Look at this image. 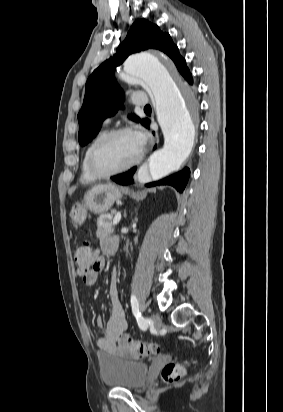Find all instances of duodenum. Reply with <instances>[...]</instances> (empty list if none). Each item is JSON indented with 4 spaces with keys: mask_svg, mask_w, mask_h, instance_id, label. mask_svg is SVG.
Wrapping results in <instances>:
<instances>
[{
    "mask_svg": "<svg viewBox=\"0 0 283 412\" xmlns=\"http://www.w3.org/2000/svg\"><path fill=\"white\" fill-rule=\"evenodd\" d=\"M118 250V242L114 243L110 247V252L115 253Z\"/></svg>",
    "mask_w": 283,
    "mask_h": 412,
    "instance_id": "obj_1",
    "label": "duodenum"
}]
</instances>
